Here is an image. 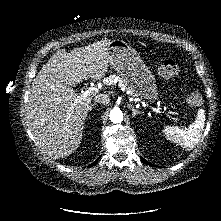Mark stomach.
Here are the masks:
<instances>
[{"instance_id":"0dacf381","label":"stomach","mask_w":221,"mask_h":221,"mask_svg":"<svg viewBox=\"0 0 221 221\" xmlns=\"http://www.w3.org/2000/svg\"><path fill=\"white\" fill-rule=\"evenodd\" d=\"M109 64L117 71L126 89L150 102L158 100L155 78L134 48L123 40H113L107 48Z\"/></svg>"}]
</instances>
